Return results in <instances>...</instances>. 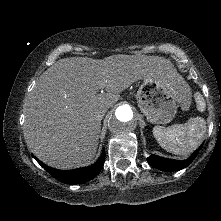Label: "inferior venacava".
I'll return each mask as SVG.
<instances>
[{
	"label": "inferior vena cava",
	"mask_w": 221,
	"mask_h": 221,
	"mask_svg": "<svg viewBox=\"0 0 221 221\" xmlns=\"http://www.w3.org/2000/svg\"><path fill=\"white\" fill-rule=\"evenodd\" d=\"M106 111H107L106 109L100 110V111L98 112V114L96 115L97 119L102 120L103 117H104V115H105V113H106Z\"/></svg>",
	"instance_id": "obj_1"
}]
</instances>
